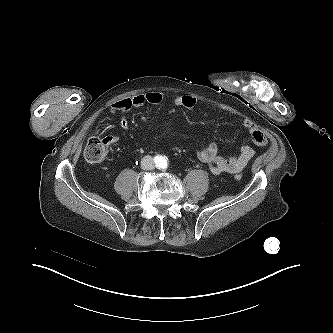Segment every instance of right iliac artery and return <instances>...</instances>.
I'll list each match as a JSON object with an SVG mask.
<instances>
[{"label": "right iliac artery", "instance_id": "obj_1", "mask_svg": "<svg viewBox=\"0 0 333 333\" xmlns=\"http://www.w3.org/2000/svg\"><path fill=\"white\" fill-rule=\"evenodd\" d=\"M154 161H155L156 164H158V163L161 161V160H160V157H158V156L155 157V158H154Z\"/></svg>", "mask_w": 333, "mask_h": 333}]
</instances>
